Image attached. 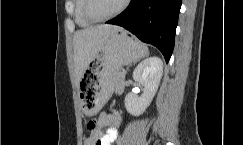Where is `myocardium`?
I'll return each mask as SVG.
<instances>
[{"mask_svg":"<svg viewBox=\"0 0 243 145\" xmlns=\"http://www.w3.org/2000/svg\"><path fill=\"white\" fill-rule=\"evenodd\" d=\"M84 1H85L84 8H83L84 15L92 23L105 22V21H108V20L118 16L128 7V5L130 3V0H124L123 3L121 4V6L116 11L111 13L110 15L105 16V17H96L93 15L92 10H91L92 0H84Z\"/></svg>","mask_w":243,"mask_h":145,"instance_id":"1","label":"myocardium"}]
</instances>
